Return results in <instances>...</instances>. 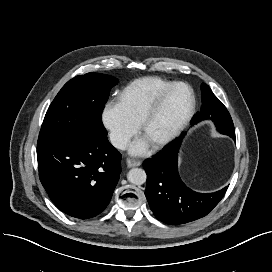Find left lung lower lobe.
Returning a JSON list of instances; mask_svg holds the SVG:
<instances>
[{
    "mask_svg": "<svg viewBox=\"0 0 272 272\" xmlns=\"http://www.w3.org/2000/svg\"><path fill=\"white\" fill-rule=\"evenodd\" d=\"M199 121V120H198ZM198 121H192V125ZM231 116L219 122L218 131L235 139V131L228 130ZM181 138L170 143L158 155L143 162L147 173L145 195L155 217L167 224L179 225L206 216L224 197L225 187L214 193H197L180 179L177 153Z\"/></svg>",
    "mask_w": 272,
    "mask_h": 272,
    "instance_id": "obj_1",
    "label": "left lung lower lobe"
}]
</instances>
